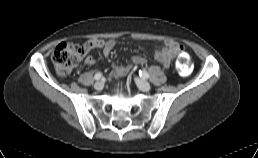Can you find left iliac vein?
I'll use <instances>...</instances> for the list:
<instances>
[{
  "label": "left iliac vein",
  "mask_w": 258,
  "mask_h": 158,
  "mask_svg": "<svg viewBox=\"0 0 258 158\" xmlns=\"http://www.w3.org/2000/svg\"><path fill=\"white\" fill-rule=\"evenodd\" d=\"M135 82H136V84H137V86L139 87L140 90H142V91H144V92L150 91L151 86H150V84H149L147 81H145L144 79L139 78V77H136V78H135Z\"/></svg>",
  "instance_id": "left-iliac-vein-1"
}]
</instances>
